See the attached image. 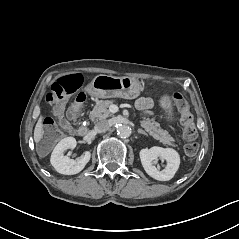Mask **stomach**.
<instances>
[{"label":"stomach","instance_id":"1","mask_svg":"<svg viewBox=\"0 0 239 239\" xmlns=\"http://www.w3.org/2000/svg\"><path fill=\"white\" fill-rule=\"evenodd\" d=\"M85 91L98 98H124L134 99L140 95L141 84L131 77H115L110 75H97L86 87ZM160 106L166 111L167 118L172 119V99L164 95L159 100Z\"/></svg>","mask_w":239,"mask_h":239}]
</instances>
